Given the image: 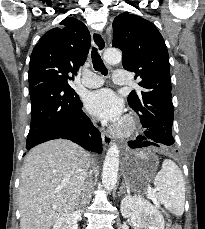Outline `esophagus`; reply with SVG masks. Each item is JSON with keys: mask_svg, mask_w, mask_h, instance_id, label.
<instances>
[{"mask_svg": "<svg viewBox=\"0 0 205 229\" xmlns=\"http://www.w3.org/2000/svg\"><path fill=\"white\" fill-rule=\"evenodd\" d=\"M91 38L92 44L98 49L100 53H102L106 47V42L103 35L98 31H93L91 33ZM101 137L105 146H110L112 144L111 137L103 130L101 131Z\"/></svg>", "mask_w": 205, "mask_h": 229, "instance_id": "1", "label": "esophagus"}]
</instances>
